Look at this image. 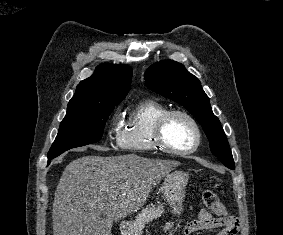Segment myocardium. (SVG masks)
<instances>
[{
  "instance_id": "myocardium-1",
  "label": "myocardium",
  "mask_w": 283,
  "mask_h": 235,
  "mask_svg": "<svg viewBox=\"0 0 283 235\" xmlns=\"http://www.w3.org/2000/svg\"><path fill=\"white\" fill-rule=\"evenodd\" d=\"M174 116H181L187 119L191 125L193 126L196 134L195 143L192 147L186 150H176L171 148L165 141L164 138V129L167 124V122ZM153 137L154 142L157 145V147L162 150L165 153L171 154V155H178V156H184L194 153L200 146L201 140H202V132L201 128L197 122V120L187 111L180 110V109H173L168 110L163 115L159 117L157 120L154 130H153Z\"/></svg>"
}]
</instances>
